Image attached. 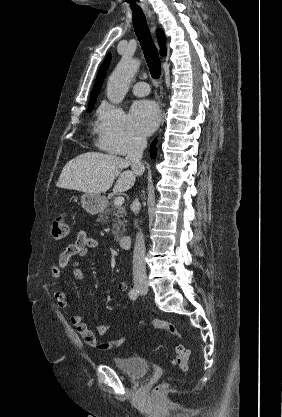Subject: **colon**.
Returning a JSON list of instances; mask_svg holds the SVG:
<instances>
[{"mask_svg": "<svg viewBox=\"0 0 282 417\" xmlns=\"http://www.w3.org/2000/svg\"><path fill=\"white\" fill-rule=\"evenodd\" d=\"M51 233L53 237L57 239L66 238L69 234V224L66 220L65 216H58L56 219L53 220L51 224ZM151 328L154 330H164L169 332L174 337L181 338L183 336L182 332L179 330L178 326L170 321L165 319L156 318L151 321ZM190 356V351L183 345L178 344L176 348V357L174 359V363L178 367V369L182 372H186L188 370L187 362ZM162 386L166 385L165 381L161 382ZM154 401L160 402L161 396L159 390L153 391Z\"/></svg>", "mask_w": 282, "mask_h": 417, "instance_id": "5ec220e1", "label": "colon"}]
</instances>
